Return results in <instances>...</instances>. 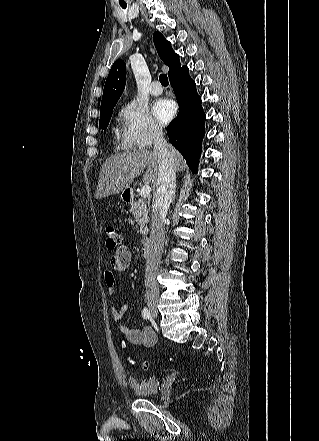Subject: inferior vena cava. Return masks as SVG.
<instances>
[{"label": "inferior vena cava", "instance_id": "obj_1", "mask_svg": "<svg viewBox=\"0 0 319 441\" xmlns=\"http://www.w3.org/2000/svg\"><path fill=\"white\" fill-rule=\"evenodd\" d=\"M154 152L158 157L159 176L156 184L151 215V249L145 267L146 296H158L156 281L165 241L164 221L175 190L174 151L163 137L162 131L153 135Z\"/></svg>", "mask_w": 319, "mask_h": 441}]
</instances>
